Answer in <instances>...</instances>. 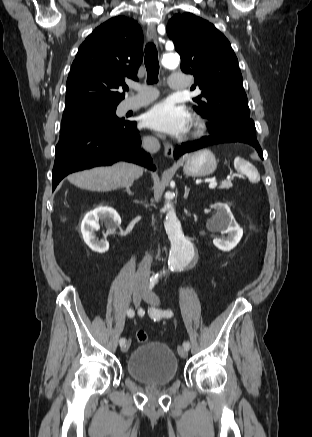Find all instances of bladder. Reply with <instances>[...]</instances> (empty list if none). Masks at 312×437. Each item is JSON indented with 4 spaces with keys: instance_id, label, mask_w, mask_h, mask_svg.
Masks as SVG:
<instances>
[{
    "instance_id": "31cf9c89",
    "label": "bladder",
    "mask_w": 312,
    "mask_h": 437,
    "mask_svg": "<svg viewBox=\"0 0 312 437\" xmlns=\"http://www.w3.org/2000/svg\"><path fill=\"white\" fill-rule=\"evenodd\" d=\"M126 366L131 378L149 385L169 384L179 372L173 350L159 341L145 342L135 348Z\"/></svg>"
}]
</instances>
